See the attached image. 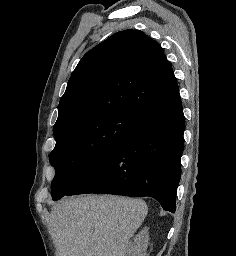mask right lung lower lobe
<instances>
[{
    "label": "right lung lower lobe",
    "mask_w": 236,
    "mask_h": 256,
    "mask_svg": "<svg viewBox=\"0 0 236 256\" xmlns=\"http://www.w3.org/2000/svg\"><path fill=\"white\" fill-rule=\"evenodd\" d=\"M185 119L180 95L144 117L66 195L103 193L155 198L175 212Z\"/></svg>",
    "instance_id": "right-lung-lower-lobe-1"
}]
</instances>
